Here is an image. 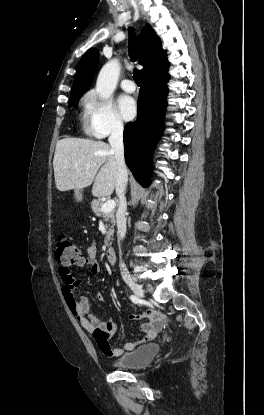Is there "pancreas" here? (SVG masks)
<instances>
[{
  "mask_svg": "<svg viewBox=\"0 0 264 415\" xmlns=\"http://www.w3.org/2000/svg\"><path fill=\"white\" fill-rule=\"evenodd\" d=\"M103 205V202L100 200H93L91 202V209L96 216H101L105 222H109L110 225H106L107 231H106V237L104 240V243L106 246L111 245V241L113 240V234H114V226H115V214L114 210L108 213H103L101 211V207Z\"/></svg>",
  "mask_w": 264,
  "mask_h": 415,
  "instance_id": "1",
  "label": "pancreas"
}]
</instances>
